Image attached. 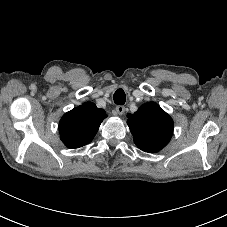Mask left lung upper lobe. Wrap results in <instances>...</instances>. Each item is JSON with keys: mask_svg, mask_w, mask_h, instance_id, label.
Segmentation results:
<instances>
[{"mask_svg": "<svg viewBox=\"0 0 227 227\" xmlns=\"http://www.w3.org/2000/svg\"><path fill=\"white\" fill-rule=\"evenodd\" d=\"M127 117L134 142L141 150L155 153L170 141L174 128L173 120L156 103H146Z\"/></svg>", "mask_w": 227, "mask_h": 227, "instance_id": "5c2ea615", "label": "left lung upper lobe"}]
</instances>
